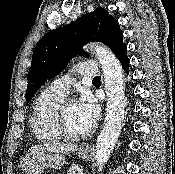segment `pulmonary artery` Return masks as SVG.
<instances>
[{
    "label": "pulmonary artery",
    "instance_id": "obj_1",
    "mask_svg": "<svg viewBox=\"0 0 175 174\" xmlns=\"http://www.w3.org/2000/svg\"><path fill=\"white\" fill-rule=\"evenodd\" d=\"M77 72L84 77L98 76V68L92 62H82L77 66ZM73 78L69 75L57 78L49 85V89L61 96H66L69 92Z\"/></svg>",
    "mask_w": 175,
    "mask_h": 174
}]
</instances>
